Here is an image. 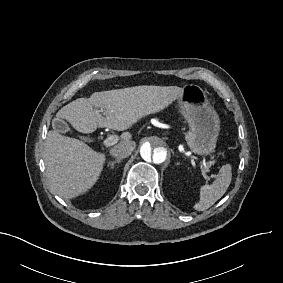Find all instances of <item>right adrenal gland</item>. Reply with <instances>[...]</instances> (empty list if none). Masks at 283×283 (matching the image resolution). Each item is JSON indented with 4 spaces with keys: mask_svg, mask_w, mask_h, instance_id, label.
I'll list each match as a JSON object with an SVG mask.
<instances>
[{
    "mask_svg": "<svg viewBox=\"0 0 283 283\" xmlns=\"http://www.w3.org/2000/svg\"><path fill=\"white\" fill-rule=\"evenodd\" d=\"M116 163H121V160H116V161L110 163V164L107 166V168H108V169H109V168L112 169L113 166H114Z\"/></svg>",
    "mask_w": 283,
    "mask_h": 283,
    "instance_id": "obj_1",
    "label": "right adrenal gland"
}]
</instances>
